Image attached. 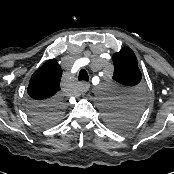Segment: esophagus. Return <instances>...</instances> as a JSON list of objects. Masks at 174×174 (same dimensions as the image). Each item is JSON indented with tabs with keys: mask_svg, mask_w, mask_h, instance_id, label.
<instances>
[{
	"mask_svg": "<svg viewBox=\"0 0 174 174\" xmlns=\"http://www.w3.org/2000/svg\"><path fill=\"white\" fill-rule=\"evenodd\" d=\"M89 88H90V84H89V83H86V82L81 83V90H82L83 92L88 91Z\"/></svg>",
	"mask_w": 174,
	"mask_h": 174,
	"instance_id": "obj_1",
	"label": "esophagus"
}]
</instances>
